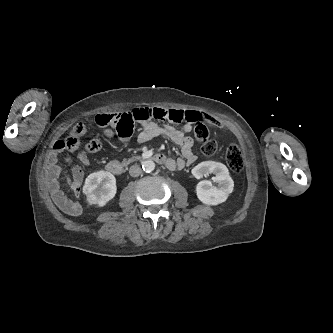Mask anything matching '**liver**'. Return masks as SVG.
I'll use <instances>...</instances> for the list:
<instances>
[{"mask_svg":"<svg viewBox=\"0 0 333 333\" xmlns=\"http://www.w3.org/2000/svg\"><path fill=\"white\" fill-rule=\"evenodd\" d=\"M67 182L70 184L71 183V180H70V178L68 177L67 178Z\"/></svg>","mask_w":333,"mask_h":333,"instance_id":"liver-1","label":"liver"}]
</instances>
